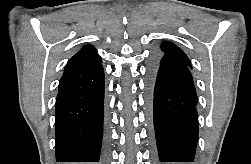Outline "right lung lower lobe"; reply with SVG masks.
<instances>
[{
  "label": "right lung lower lobe",
  "mask_w": 251,
  "mask_h": 164,
  "mask_svg": "<svg viewBox=\"0 0 251 164\" xmlns=\"http://www.w3.org/2000/svg\"><path fill=\"white\" fill-rule=\"evenodd\" d=\"M55 125L57 162H106L108 134L101 63L62 76Z\"/></svg>",
  "instance_id": "1"
}]
</instances>
